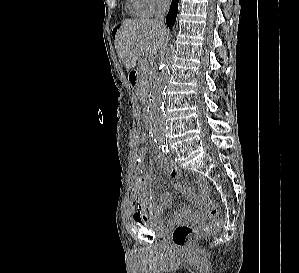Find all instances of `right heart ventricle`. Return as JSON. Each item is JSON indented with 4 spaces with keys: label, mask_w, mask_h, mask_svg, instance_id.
<instances>
[{
    "label": "right heart ventricle",
    "mask_w": 299,
    "mask_h": 273,
    "mask_svg": "<svg viewBox=\"0 0 299 273\" xmlns=\"http://www.w3.org/2000/svg\"><path fill=\"white\" fill-rule=\"evenodd\" d=\"M129 7L130 10L134 15L137 16H146L149 15L144 8L141 6L140 2L138 0H129Z\"/></svg>",
    "instance_id": "right-heart-ventricle-1"
}]
</instances>
